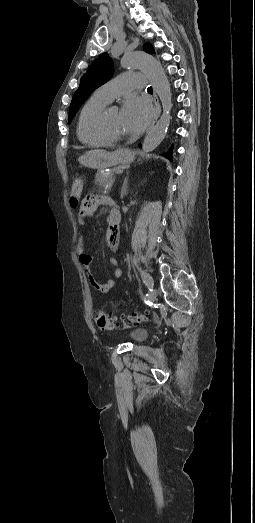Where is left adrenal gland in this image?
Returning a JSON list of instances; mask_svg holds the SVG:
<instances>
[{"label":"left adrenal gland","mask_w":255,"mask_h":523,"mask_svg":"<svg viewBox=\"0 0 255 523\" xmlns=\"http://www.w3.org/2000/svg\"><path fill=\"white\" fill-rule=\"evenodd\" d=\"M127 188H128V180H127V178H125L124 184L121 188V198H124V196H127V194H128Z\"/></svg>","instance_id":"a2214340"}]
</instances>
